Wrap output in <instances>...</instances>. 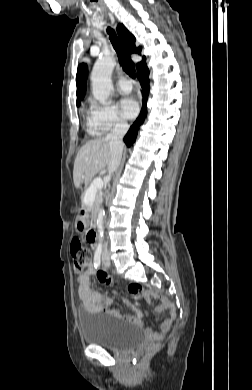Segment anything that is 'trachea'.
Masks as SVG:
<instances>
[{
  "mask_svg": "<svg viewBox=\"0 0 252 390\" xmlns=\"http://www.w3.org/2000/svg\"><path fill=\"white\" fill-rule=\"evenodd\" d=\"M107 33L109 34L110 41L113 45V48L115 49L120 65L122 66L123 70L132 78H135V64L130 58V55L125 48L124 44L121 43L119 38L117 37L115 31L111 29L110 27L107 28Z\"/></svg>",
  "mask_w": 252,
  "mask_h": 390,
  "instance_id": "3493384b",
  "label": "trachea"
}]
</instances>
